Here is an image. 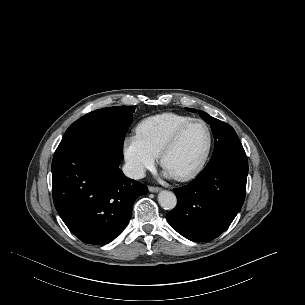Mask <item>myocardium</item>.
<instances>
[{
  "label": "myocardium",
  "mask_w": 305,
  "mask_h": 305,
  "mask_svg": "<svg viewBox=\"0 0 305 305\" xmlns=\"http://www.w3.org/2000/svg\"><path fill=\"white\" fill-rule=\"evenodd\" d=\"M196 123L202 124L207 130V134H208L207 146H206L204 154H203L202 158L200 159L199 163L192 170H190L184 174H181V175H177V176L173 175L174 179H176L177 181H180V182L189 181V180L197 177L203 171V169L205 168V166L208 162V159H209V156H210V153L212 150V145H213V133H212V130H211L210 126L208 125V123L202 119H191L190 121L186 122L185 124H183L176 130V132L173 134L171 139L163 147V149L161 150L160 155H159L160 164L163 168H165V160H166L167 156L177 147L184 132L191 125L196 124Z\"/></svg>",
  "instance_id": "1"
}]
</instances>
